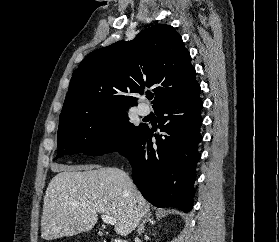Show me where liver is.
<instances>
[{
  "instance_id": "liver-1",
  "label": "liver",
  "mask_w": 279,
  "mask_h": 242,
  "mask_svg": "<svg viewBox=\"0 0 279 242\" xmlns=\"http://www.w3.org/2000/svg\"><path fill=\"white\" fill-rule=\"evenodd\" d=\"M99 213L115 218V232L127 236L150 205L121 169L61 166L44 196L41 236L49 241L89 231Z\"/></svg>"
}]
</instances>
